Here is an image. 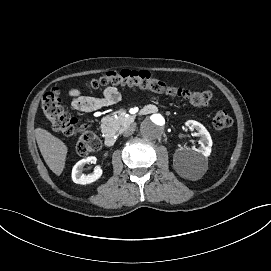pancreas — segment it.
<instances>
[{"label": "pancreas", "instance_id": "1", "mask_svg": "<svg viewBox=\"0 0 271 271\" xmlns=\"http://www.w3.org/2000/svg\"><path fill=\"white\" fill-rule=\"evenodd\" d=\"M102 130L108 131H120L123 127L127 125V120L125 118L116 119L114 116H105L101 120Z\"/></svg>", "mask_w": 271, "mask_h": 271}]
</instances>
